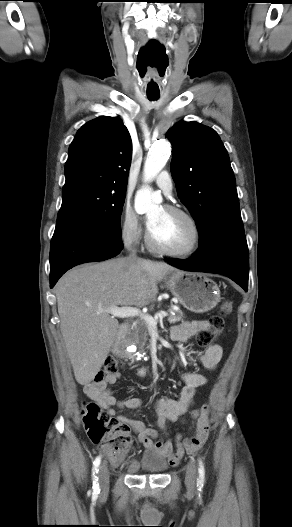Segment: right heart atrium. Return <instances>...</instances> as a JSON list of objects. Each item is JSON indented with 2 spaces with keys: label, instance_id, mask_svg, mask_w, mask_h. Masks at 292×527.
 Here are the masks:
<instances>
[{
  "label": "right heart atrium",
  "instance_id": "obj_1",
  "mask_svg": "<svg viewBox=\"0 0 292 527\" xmlns=\"http://www.w3.org/2000/svg\"><path fill=\"white\" fill-rule=\"evenodd\" d=\"M120 224L122 239L129 244L136 243L141 235V225L138 215L128 204L122 208Z\"/></svg>",
  "mask_w": 292,
  "mask_h": 527
}]
</instances>
